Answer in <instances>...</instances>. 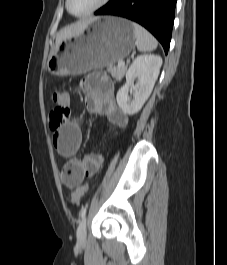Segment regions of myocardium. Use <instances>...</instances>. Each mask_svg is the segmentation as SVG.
<instances>
[{
  "mask_svg": "<svg viewBox=\"0 0 227 265\" xmlns=\"http://www.w3.org/2000/svg\"><path fill=\"white\" fill-rule=\"evenodd\" d=\"M110 0H100L93 8H91L90 10L84 12V13H81V14H75L73 13L71 10H70V0H66V9L67 11L74 17H78V18H81V17H85V16H88V15H91L93 14L94 12L98 11L99 9H101L102 7H104Z\"/></svg>",
  "mask_w": 227,
  "mask_h": 265,
  "instance_id": "f54148a6",
  "label": "myocardium"
}]
</instances>
